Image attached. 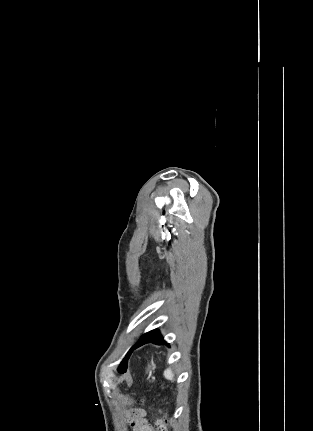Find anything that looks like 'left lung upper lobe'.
I'll use <instances>...</instances> for the list:
<instances>
[{"label":"left lung upper lobe","instance_id":"obj_1","mask_svg":"<svg viewBox=\"0 0 313 431\" xmlns=\"http://www.w3.org/2000/svg\"><path fill=\"white\" fill-rule=\"evenodd\" d=\"M130 354H131V349H130V350H129V352L126 354L125 358L122 360V362H121V364H120V366H119V368H118V371H119V372H121V371H125V370L127 369V361H128V359H129V357H130Z\"/></svg>","mask_w":313,"mask_h":431}]
</instances>
